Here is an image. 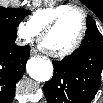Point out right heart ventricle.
Segmentation results:
<instances>
[{"label":"right heart ventricle","mask_w":103,"mask_h":103,"mask_svg":"<svg viewBox=\"0 0 103 103\" xmlns=\"http://www.w3.org/2000/svg\"><path fill=\"white\" fill-rule=\"evenodd\" d=\"M70 7L71 6L68 4H60L57 6L39 9L30 15L27 24L38 35L55 16Z\"/></svg>","instance_id":"e07e8e85"}]
</instances>
